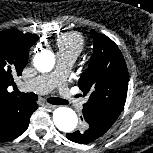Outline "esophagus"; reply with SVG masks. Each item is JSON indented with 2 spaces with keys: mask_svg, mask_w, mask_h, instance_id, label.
Here are the masks:
<instances>
[{
  "mask_svg": "<svg viewBox=\"0 0 153 153\" xmlns=\"http://www.w3.org/2000/svg\"><path fill=\"white\" fill-rule=\"evenodd\" d=\"M42 106H44L48 110H54L56 108L55 105H51V104H42Z\"/></svg>",
  "mask_w": 153,
  "mask_h": 153,
  "instance_id": "1",
  "label": "esophagus"
}]
</instances>
